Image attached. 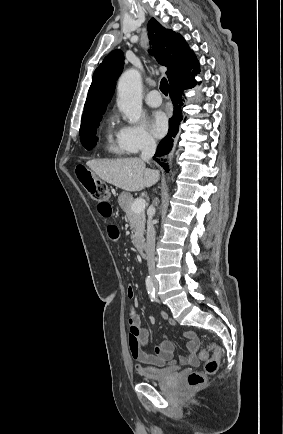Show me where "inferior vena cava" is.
<instances>
[{
    "instance_id": "obj_1",
    "label": "inferior vena cava",
    "mask_w": 283,
    "mask_h": 434,
    "mask_svg": "<svg viewBox=\"0 0 283 434\" xmlns=\"http://www.w3.org/2000/svg\"><path fill=\"white\" fill-rule=\"evenodd\" d=\"M156 151V142L153 138L148 137L145 140L142 152H141V159L149 162L150 159L153 157L154 153ZM155 213V209L152 208L151 212L148 217L147 221V265H148V271L149 275L155 282V228L152 223V218Z\"/></svg>"
}]
</instances>
